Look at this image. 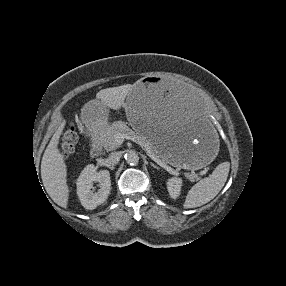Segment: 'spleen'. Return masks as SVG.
Instances as JSON below:
<instances>
[{
  "instance_id": "1",
  "label": "spleen",
  "mask_w": 286,
  "mask_h": 286,
  "mask_svg": "<svg viewBox=\"0 0 286 286\" xmlns=\"http://www.w3.org/2000/svg\"><path fill=\"white\" fill-rule=\"evenodd\" d=\"M230 169L229 162L219 164L213 173L201 179L188 192L184 208H195L211 201L223 188Z\"/></svg>"
}]
</instances>
